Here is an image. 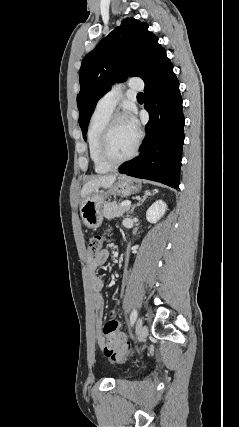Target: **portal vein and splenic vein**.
<instances>
[{
    "label": "portal vein and splenic vein",
    "instance_id": "obj_1",
    "mask_svg": "<svg viewBox=\"0 0 239 427\" xmlns=\"http://www.w3.org/2000/svg\"><path fill=\"white\" fill-rule=\"evenodd\" d=\"M121 206H122V207H129V206H131V202H130V201H128V200L123 201V202L121 203Z\"/></svg>",
    "mask_w": 239,
    "mask_h": 427
}]
</instances>
